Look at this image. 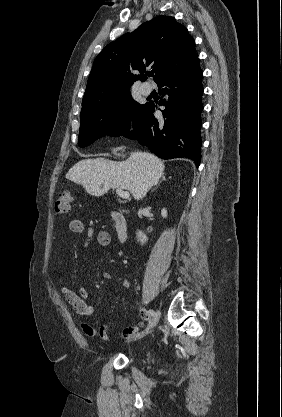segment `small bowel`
Here are the masks:
<instances>
[{
  "label": "small bowel",
  "instance_id": "small-bowel-1",
  "mask_svg": "<svg viewBox=\"0 0 282 417\" xmlns=\"http://www.w3.org/2000/svg\"><path fill=\"white\" fill-rule=\"evenodd\" d=\"M69 229L74 234H83L87 231L88 238L85 242V246H88L93 234V228L86 229L85 223L82 220L74 219L69 223ZM96 240L99 246L106 248L110 245L111 237L107 231H100L97 234ZM57 262L58 264H61L62 259L59 258ZM110 284L113 286H120L125 290L129 289L130 287V282L127 279H123L119 282L110 280ZM63 293L67 302L74 308L75 312L78 315L83 317H91L95 313V307L93 305L87 304L86 302L89 296L87 288L82 287L79 290V294L75 293L73 290L69 288H64ZM81 330L88 337H94L96 335H99L105 341L110 340L107 325H102L100 329L97 330L87 323H82ZM134 330L135 328L133 327H126L125 329H123L122 335L124 337H128L134 332Z\"/></svg>",
  "mask_w": 282,
  "mask_h": 417
}]
</instances>
